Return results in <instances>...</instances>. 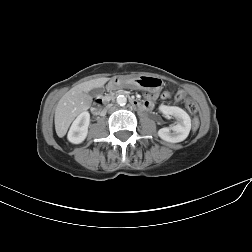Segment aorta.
Returning <instances> with one entry per match:
<instances>
[{
	"label": "aorta",
	"instance_id": "762f6f07",
	"mask_svg": "<svg viewBox=\"0 0 252 252\" xmlns=\"http://www.w3.org/2000/svg\"><path fill=\"white\" fill-rule=\"evenodd\" d=\"M116 102L120 106H124L127 102V98L124 95H119L116 99Z\"/></svg>",
	"mask_w": 252,
	"mask_h": 252
}]
</instances>
